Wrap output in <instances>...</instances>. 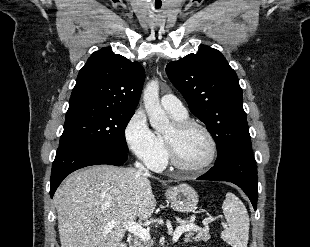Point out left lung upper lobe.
Wrapping results in <instances>:
<instances>
[{"label":"left lung upper lobe","instance_id":"1","mask_svg":"<svg viewBox=\"0 0 310 247\" xmlns=\"http://www.w3.org/2000/svg\"><path fill=\"white\" fill-rule=\"evenodd\" d=\"M166 72L190 111L207 125L217 145L216 162L251 146L242 89L221 52L201 46L196 54L170 62Z\"/></svg>","mask_w":310,"mask_h":247}]
</instances>
